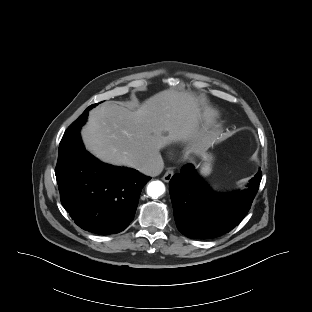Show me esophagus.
<instances>
[{
    "label": "esophagus",
    "mask_w": 312,
    "mask_h": 312,
    "mask_svg": "<svg viewBox=\"0 0 312 312\" xmlns=\"http://www.w3.org/2000/svg\"><path fill=\"white\" fill-rule=\"evenodd\" d=\"M174 172L172 169H167V171L165 172V174L163 175L162 179L165 182H169L171 180V178L173 177Z\"/></svg>",
    "instance_id": "obj_1"
}]
</instances>
